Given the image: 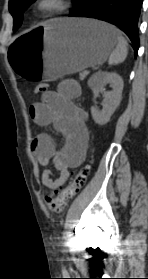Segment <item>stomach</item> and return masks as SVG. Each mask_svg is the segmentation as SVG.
<instances>
[{
	"mask_svg": "<svg viewBox=\"0 0 148 279\" xmlns=\"http://www.w3.org/2000/svg\"><path fill=\"white\" fill-rule=\"evenodd\" d=\"M117 37V29L101 21L54 19L16 37L8 60L17 82H55L104 63Z\"/></svg>",
	"mask_w": 148,
	"mask_h": 279,
	"instance_id": "0dacf381",
	"label": "stomach"
}]
</instances>
